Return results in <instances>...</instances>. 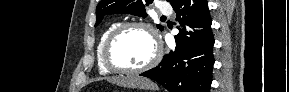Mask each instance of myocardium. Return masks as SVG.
<instances>
[{"instance_id":"f54148a6","label":"myocardium","mask_w":289,"mask_h":92,"mask_svg":"<svg viewBox=\"0 0 289 92\" xmlns=\"http://www.w3.org/2000/svg\"><path fill=\"white\" fill-rule=\"evenodd\" d=\"M131 28H142L145 29L150 36L152 37V40L154 42V54L152 58L143 66L137 67V68H129L124 67L121 65H118L114 62L112 58V49L116 42V40L128 29ZM162 55V45L158 38V35L155 31V29L152 27L151 24L144 22V21H128L119 24L108 36V38L105 41L104 47H103V62L107 69H109L112 72L115 73H122V74H138L145 72L151 68H153L157 63L159 62Z\"/></svg>"}]
</instances>
